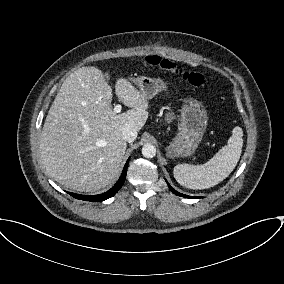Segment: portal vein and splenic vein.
<instances>
[{
  "mask_svg": "<svg viewBox=\"0 0 284 284\" xmlns=\"http://www.w3.org/2000/svg\"><path fill=\"white\" fill-rule=\"evenodd\" d=\"M121 109H122L121 105L117 104L113 109L114 114L121 112Z\"/></svg>",
  "mask_w": 284,
  "mask_h": 284,
  "instance_id": "1",
  "label": "portal vein and splenic vein"
}]
</instances>
